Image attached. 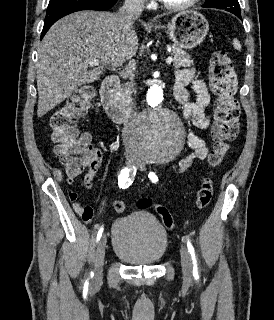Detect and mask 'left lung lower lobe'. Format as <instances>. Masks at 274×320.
I'll return each instance as SVG.
<instances>
[{
    "instance_id": "0a47b994",
    "label": "left lung lower lobe",
    "mask_w": 274,
    "mask_h": 320,
    "mask_svg": "<svg viewBox=\"0 0 274 320\" xmlns=\"http://www.w3.org/2000/svg\"><path fill=\"white\" fill-rule=\"evenodd\" d=\"M233 14H235L238 18L242 19V18H241V12H235V13H233Z\"/></svg>"
}]
</instances>
